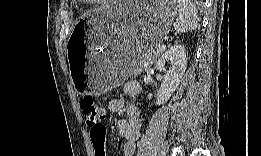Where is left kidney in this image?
<instances>
[{
    "instance_id": "left-kidney-1",
    "label": "left kidney",
    "mask_w": 261,
    "mask_h": 156,
    "mask_svg": "<svg viewBox=\"0 0 261 156\" xmlns=\"http://www.w3.org/2000/svg\"><path fill=\"white\" fill-rule=\"evenodd\" d=\"M166 64H169L170 68L165 71L164 79L157 91L156 105H162L167 102L179 86L180 79L187 65V56L184 47L174 45L168 49L157 61L156 69L163 71Z\"/></svg>"
}]
</instances>
